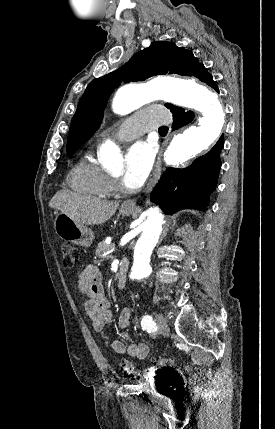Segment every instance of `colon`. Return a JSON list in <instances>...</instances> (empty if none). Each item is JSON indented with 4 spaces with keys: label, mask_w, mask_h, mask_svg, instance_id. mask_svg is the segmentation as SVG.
Wrapping results in <instances>:
<instances>
[{
    "label": "colon",
    "mask_w": 275,
    "mask_h": 429,
    "mask_svg": "<svg viewBox=\"0 0 275 429\" xmlns=\"http://www.w3.org/2000/svg\"><path fill=\"white\" fill-rule=\"evenodd\" d=\"M63 263L67 268H72L79 260V251L71 243H64L62 246ZM173 360L169 357H158L154 360V368L157 372L172 368ZM123 368L133 377L138 378L139 374L133 363L124 362Z\"/></svg>",
    "instance_id": "obj_1"
}]
</instances>
